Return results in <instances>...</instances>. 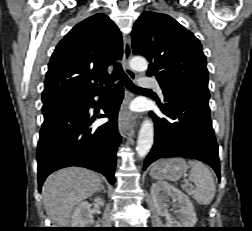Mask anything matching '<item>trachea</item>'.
Wrapping results in <instances>:
<instances>
[{
  "mask_svg": "<svg viewBox=\"0 0 252 231\" xmlns=\"http://www.w3.org/2000/svg\"><path fill=\"white\" fill-rule=\"evenodd\" d=\"M120 79L122 81V83L124 84V86L132 91V92H138V91H148L147 89L138 87L136 85H134L132 83V81L128 78V76L126 75V73L123 71L121 64L120 63H116L114 65V71L112 73V77L110 78V80L106 83V87L104 89V92H109L112 86V83L117 80Z\"/></svg>",
  "mask_w": 252,
  "mask_h": 231,
  "instance_id": "1",
  "label": "trachea"
}]
</instances>
